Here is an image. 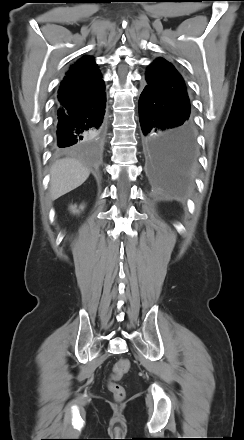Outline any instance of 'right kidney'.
I'll return each mask as SVG.
<instances>
[{
    "instance_id": "ca27d5eb",
    "label": "right kidney",
    "mask_w": 244,
    "mask_h": 440,
    "mask_svg": "<svg viewBox=\"0 0 244 440\" xmlns=\"http://www.w3.org/2000/svg\"><path fill=\"white\" fill-rule=\"evenodd\" d=\"M82 209H83V207H81ZM71 209H72V211L73 212H77V210H76V207L74 206V207H71Z\"/></svg>"
}]
</instances>
